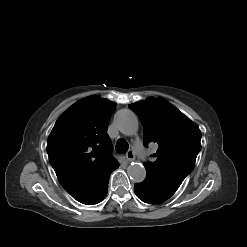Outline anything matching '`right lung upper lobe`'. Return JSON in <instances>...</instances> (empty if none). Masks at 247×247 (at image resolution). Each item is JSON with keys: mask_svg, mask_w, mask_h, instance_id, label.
Here are the masks:
<instances>
[{"mask_svg": "<svg viewBox=\"0 0 247 247\" xmlns=\"http://www.w3.org/2000/svg\"><path fill=\"white\" fill-rule=\"evenodd\" d=\"M116 104L99 96L84 98L56 121L48 142L49 161L74 198L119 163L111 155L107 126Z\"/></svg>", "mask_w": 247, "mask_h": 247, "instance_id": "cb5924a9", "label": "right lung upper lobe"}]
</instances>
